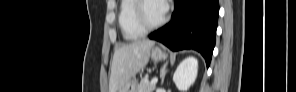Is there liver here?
Instances as JSON below:
<instances>
[{"label":"liver","instance_id":"1","mask_svg":"<svg viewBox=\"0 0 296 92\" xmlns=\"http://www.w3.org/2000/svg\"><path fill=\"white\" fill-rule=\"evenodd\" d=\"M155 42L136 40L117 48L111 64L109 92L119 90L149 61L150 50Z\"/></svg>","mask_w":296,"mask_h":92}]
</instances>
